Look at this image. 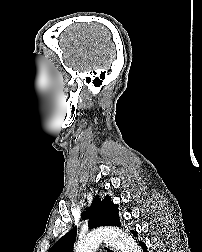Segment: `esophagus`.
Segmentation results:
<instances>
[{"label": "esophagus", "instance_id": "esophagus-1", "mask_svg": "<svg viewBox=\"0 0 202 252\" xmlns=\"http://www.w3.org/2000/svg\"><path fill=\"white\" fill-rule=\"evenodd\" d=\"M103 251L104 252H115V250H113V248H111L110 246H108L107 244L103 245Z\"/></svg>", "mask_w": 202, "mask_h": 252}]
</instances>
